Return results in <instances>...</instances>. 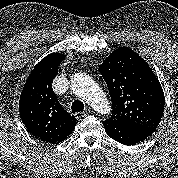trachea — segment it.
I'll list each match as a JSON object with an SVG mask.
<instances>
[{
  "label": "trachea",
  "instance_id": "obj_1",
  "mask_svg": "<svg viewBox=\"0 0 178 178\" xmlns=\"http://www.w3.org/2000/svg\"><path fill=\"white\" fill-rule=\"evenodd\" d=\"M71 109H72V112H73V113H76V112H83V111H84V104H83V102H81V101H79V100H75V101L72 103Z\"/></svg>",
  "mask_w": 178,
  "mask_h": 178
}]
</instances>
